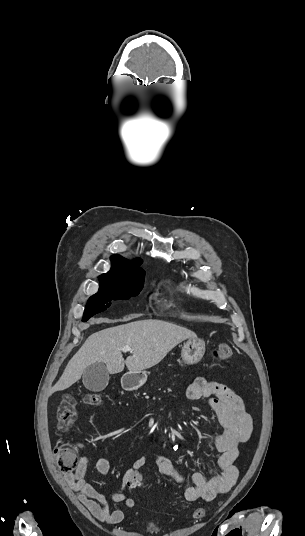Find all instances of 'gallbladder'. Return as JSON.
I'll return each mask as SVG.
<instances>
[{
	"label": "gallbladder",
	"instance_id": "obj_1",
	"mask_svg": "<svg viewBox=\"0 0 305 536\" xmlns=\"http://www.w3.org/2000/svg\"><path fill=\"white\" fill-rule=\"evenodd\" d=\"M109 380L108 370L102 362H95V364L87 366L82 374V382L90 392H101L108 386Z\"/></svg>",
	"mask_w": 305,
	"mask_h": 536
}]
</instances>
